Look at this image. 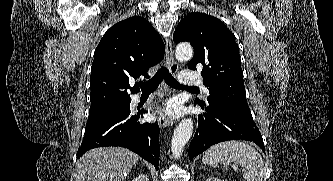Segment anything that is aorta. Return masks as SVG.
I'll return each mask as SVG.
<instances>
[{"instance_id": "1", "label": "aorta", "mask_w": 333, "mask_h": 181, "mask_svg": "<svg viewBox=\"0 0 333 181\" xmlns=\"http://www.w3.org/2000/svg\"><path fill=\"white\" fill-rule=\"evenodd\" d=\"M193 56V48L190 44H179L175 50V57L179 61L190 60ZM193 132V121L190 118L183 119L176 127L172 141L171 151L177 158L182 154L184 146L189 141Z\"/></svg>"}]
</instances>
